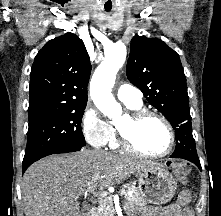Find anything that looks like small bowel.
<instances>
[{
  "label": "small bowel",
  "mask_w": 221,
  "mask_h": 216,
  "mask_svg": "<svg viewBox=\"0 0 221 216\" xmlns=\"http://www.w3.org/2000/svg\"><path fill=\"white\" fill-rule=\"evenodd\" d=\"M192 195L185 191L171 204L164 207L162 216H194L193 210L190 208Z\"/></svg>",
  "instance_id": "c3829d8e"
}]
</instances>
